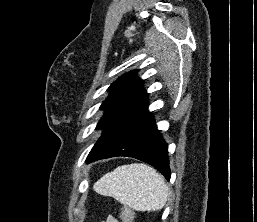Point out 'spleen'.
<instances>
[{
  "label": "spleen",
  "mask_w": 257,
  "mask_h": 222,
  "mask_svg": "<svg viewBox=\"0 0 257 222\" xmlns=\"http://www.w3.org/2000/svg\"><path fill=\"white\" fill-rule=\"evenodd\" d=\"M94 190L110 196L135 211H158L168 198V186L155 169L139 163L122 165L106 173Z\"/></svg>",
  "instance_id": "3e777b00"
}]
</instances>
